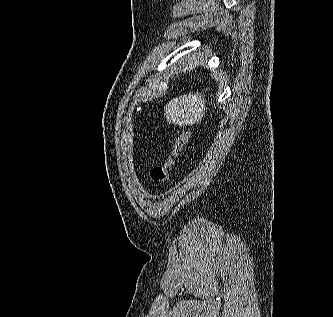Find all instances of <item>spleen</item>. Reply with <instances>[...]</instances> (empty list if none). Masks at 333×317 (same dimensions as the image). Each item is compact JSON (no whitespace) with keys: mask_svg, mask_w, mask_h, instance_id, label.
<instances>
[{"mask_svg":"<svg viewBox=\"0 0 333 317\" xmlns=\"http://www.w3.org/2000/svg\"><path fill=\"white\" fill-rule=\"evenodd\" d=\"M205 96L202 93H189L171 99L164 107L169 123L178 126L193 125L205 116Z\"/></svg>","mask_w":333,"mask_h":317,"instance_id":"obj_1","label":"spleen"}]
</instances>
